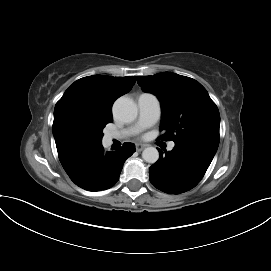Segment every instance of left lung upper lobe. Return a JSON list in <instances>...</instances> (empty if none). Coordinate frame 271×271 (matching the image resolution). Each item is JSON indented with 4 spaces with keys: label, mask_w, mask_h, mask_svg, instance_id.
Wrapping results in <instances>:
<instances>
[{
    "label": "left lung upper lobe",
    "mask_w": 271,
    "mask_h": 271,
    "mask_svg": "<svg viewBox=\"0 0 271 271\" xmlns=\"http://www.w3.org/2000/svg\"><path fill=\"white\" fill-rule=\"evenodd\" d=\"M145 92L155 94L161 102L159 139L178 142L193 140L215 147L219 145L220 114L206 89L196 80L175 73L138 76Z\"/></svg>",
    "instance_id": "1"
}]
</instances>
